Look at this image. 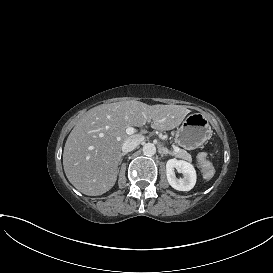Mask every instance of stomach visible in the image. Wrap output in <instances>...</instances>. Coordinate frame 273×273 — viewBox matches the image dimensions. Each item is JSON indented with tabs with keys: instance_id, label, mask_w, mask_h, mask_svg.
I'll use <instances>...</instances> for the list:
<instances>
[{
	"instance_id": "stomach-1",
	"label": "stomach",
	"mask_w": 273,
	"mask_h": 273,
	"mask_svg": "<svg viewBox=\"0 0 273 273\" xmlns=\"http://www.w3.org/2000/svg\"><path fill=\"white\" fill-rule=\"evenodd\" d=\"M211 132L204 114H190L176 132V143L187 150L195 149L211 137Z\"/></svg>"
}]
</instances>
